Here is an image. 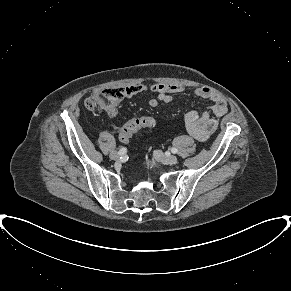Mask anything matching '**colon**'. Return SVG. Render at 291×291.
<instances>
[{"label":"colon","instance_id":"1","mask_svg":"<svg viewBox=\"0 0 291 291\" xmlns=\"http://www.w3.org/2000/svg\"><path fill=\"white\" fill-rule=\"evenodd\" d=\"M125 91L120 87L100 88L95 90L85 101L89 109L108 110L115 108L123 99ZM155 125L151 116H140L128 121L121 129L120 140L127 143L132 135L140 129L150 128Z\"/></svg>","mask_w":291,"mask_h":291}]
</instances>
